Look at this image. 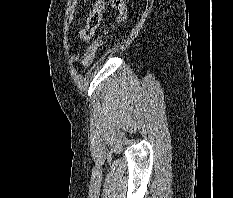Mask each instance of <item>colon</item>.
Returning <instances> with one entry per match:
<instances>
[{
	"mask_svg": "<svg viewBox=\"0 0 233 198\" xmlns=\"http://www.w3.org/2000/svg\"><path fill=\"white\" fill-rule=\"evenodd\" d=\"M112 6L117 10V15L114 19V21L100 34L96 37V39L92 42L89 49L85 53L83 57V66L85 68L89 67L93 60L95 59L96 53L98 49L101 47L103 43V39L105 35L111 30V28L116 24L121 22L125 18L126 14V7L124 0H110ZM104 5V0H95L93 10L91 11L86 26L80 30L79 37L81 39H88L93 31L99 26L101 21V13L102 8Z\"/></svg>",
	"mask_w": 233,
	"mask_h": 198,
	"instance_id": "5ec220e1",
	"label": "colon"
}]
</instances>
